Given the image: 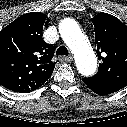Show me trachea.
<instances>
[{
	"mask_svg": "<svg viewBox=\"0 0 127 127\" xmlns=\"http://www.w3.org/2000/svg\"><path fill=\"white\" fill-rule=\"evenodd\" d=\"M68 49L65 46H60L57 51H56V55H65L68 56Z\"/></svg>",
	"mask_w": 127,
	"mask_h": 127,
	"instance_id": "trachea-1",
	"label": "trachea"
}]
</instances>
